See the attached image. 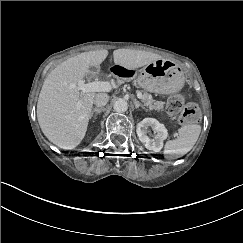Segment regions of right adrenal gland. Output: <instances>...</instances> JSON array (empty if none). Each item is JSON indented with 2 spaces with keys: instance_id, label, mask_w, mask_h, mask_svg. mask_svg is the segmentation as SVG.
Returning <instances> with one entry per match:
<instances>
[{
  "instance_id": "obj_1",
  "label": "right adrenal gland",
  "mask_w": 243,
  "mask_h": 243,
  "mask_svg": "<svg viewBox=\"0 0 243 243\" xmlns=\"http://www.w3.org/2000/svg\"><path fill=\"white\" fill-rule=\"evenodd\" d=\"M102 111H103L102 107L93 108L92 111L90 112V116H89L90 119L93 117L94 113H95L94 119H96L97 114L101 113Z\"/></svg>"
}]
</instances>
